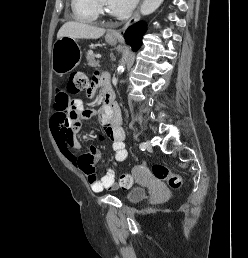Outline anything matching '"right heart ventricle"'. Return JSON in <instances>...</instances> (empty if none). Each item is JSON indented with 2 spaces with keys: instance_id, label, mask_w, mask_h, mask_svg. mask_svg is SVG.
<instances>
[{
  "instance_id": "right-heart-ventricle-1",
  "label": "right heart ventricle",
  "mask_w": 248,
  "mask_h": 258,
  "mask_svg": "<svg viewBox=\"0 0 248 258\" xmlns=\"http://www.w3.org/2000/svg\"><path fill=\"white\" fill-rule=\"evenodd\" d=\"M73 17L81 23H95L98 19L96 0H70Z\"/></svg>"
}]
</instances>
